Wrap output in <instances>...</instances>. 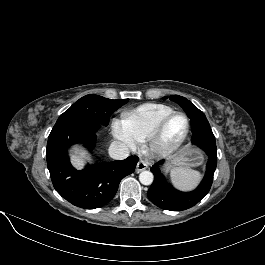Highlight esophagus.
Wrapping results in <instances>:
<instances>
[{"label": "esophagus", "instance_id": "1", "mask_svg": "<svg viewBox=\"0 0 265 265\" xmlns=\"http://www.w3.org/2000/svg\"><path fill=\"white\" fill-rule=\"evenodd\" d=\"M148 162L145 160H140L136 166V172L139 173L143 170H145L148 167Z\"/></svg>", "mask_w": 265, "mask_h": 265}]
</instances>
